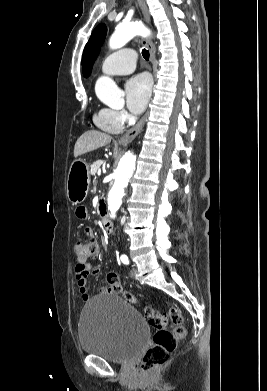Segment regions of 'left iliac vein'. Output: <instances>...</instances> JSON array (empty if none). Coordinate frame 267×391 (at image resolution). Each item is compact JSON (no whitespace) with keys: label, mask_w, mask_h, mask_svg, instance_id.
Listing matches in <instances>:
<instances>
[{"label":"left iliac vein","mask_w":267,"mask_h":391,"mask_svg":"<svg viewBox=\"0 0 267 391\" xmlns=\"http://www.w3.org/2000/svg\"><path fill=\"white\" fill-rule=\"evenodd\" d=\"M131 274L135 279L137 278V269L135 267L132 268Z\"/></svg>","instance_id":"obj_1"}]
</instances>
